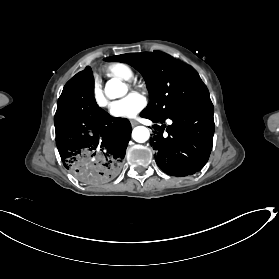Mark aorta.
Masks as SVG:
<instances>
[{
  "instance_id": "aorta-1",
  "label": "aorta",
  "mask_w": 279,
  "mask_h": 279,
  "mask_svg": "<svg viewBox=\"0 0 279 279\" xmlns=\"http://www.w3.org/2000/svg\"><path fill=\"white\" fill-rule=\"evenodd\" d=\"M127 86L118 79H111L105 85V94L110 99H116L124 96L127 93ZM150 137L148 128L137 126L132 131V138L139 143L146 142Z\"/></svg>"
}]
</instances>
